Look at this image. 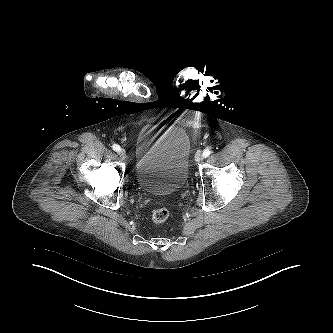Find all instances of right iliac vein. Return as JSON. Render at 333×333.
I'll return each mask as SVG.
<instances>
[{
    "mask_svg": "<svg viewBox=\"0 0 333 333\" xmlns=\"http://www.w3.org/2000/svg\"><path fill=\"white\" fill-rule=\"evenodd\" d=\"M119 155L121 156V158H122L123 160L126 159V153H125V150H124V149H120V150H119Z\"/></svg>",
    "mask_w": 333,
    "mask_h": 333,
    "instance_id": "right-iliac-vein-1",
    "label": "right iliac vein"
}]
</instances>
